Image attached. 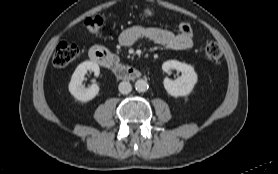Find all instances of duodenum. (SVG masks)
Wrapping results in <instances>:
<instances>
[{
  "instance_id": "1",
  "label": "duodenum",
  "mask_w": 278,
  "mask_h": 174,
  "mask_svg": "<svg viewBox=\"0 0 278 174\" xmlns=\"http://www.w3.org/2000/svg\"><path fill=\"white\" fill-rule=\"evenodd\" d=\"M89 56L93 62L105 68H111L120 79L132 80L141 76V72L138 69L117 62L113 56L101 46H93L89 51Z\"/></svg>"
}]
</instances>
